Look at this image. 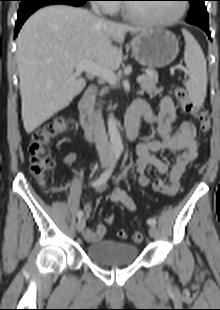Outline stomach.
I'll use <instances>...</instances> for the list:
<instances>
[{"instance_id": "0dacf381", "label": "stomach", "mask_w": 220, "mask_h": 310, "mask_svg": "<svg viewBox=\"0 0 220 310\" xmlns=\"http://www.w3.org/2000/svg\"><path fill=\"white\" fill-rule=\"evenodd\" d=\"M131 47L136 61L148 68H162L169 65L179 52L175 35L161 28L137 34L131 41Z\"/></svg>"}]
</instances>
